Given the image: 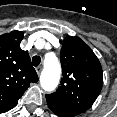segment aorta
I'll return each instance as SVG.
<instances>
[{"instance_id": "aorta-1", "label": "aorta", "mask_w": 117, "mask_h": 117, "mask_svg": "<svg viewBox=\"0 0 117 117\" xmlns=\"http://www.w3.org/2000/svg\"><path fill=\"white\" fill-rule=\"evenodd\" d=\"M61 75V66L56 56H46L44 60V69L41 73V87L52 92L57 87Z\"/></svg>"}]
</instances>
